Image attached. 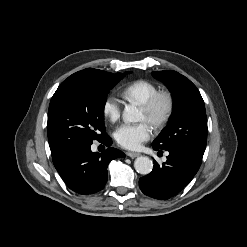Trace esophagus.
Listing matches in <instances>:
<instances>
[{"instance_id":"34e87169","label":"esophagus","mask_w":247,"mask_h":247,"mask_svg":"<svg viewBox=\"0 0 247 247\" xmlns=\"http://www.w3.org/2000/svg\"><path fill=\"white\" fill-rule=\"evenodd\" d=\"M126 154L130 158H135V157H138L140 155V153H138V152H127Z\"/></svg>"}]
</instances>
